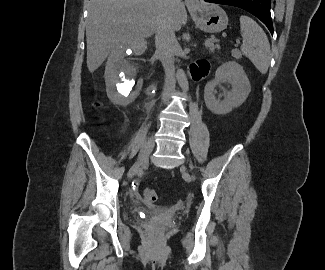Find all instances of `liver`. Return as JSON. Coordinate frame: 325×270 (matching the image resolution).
Listing matches in <instances>:
<instances>
[{
	"instance_id": "obj_1",
	"label": "liver",
	"mask_w": 325,
	"mask_h": 270,
	"mask_svg": "<svg viewBox=\"0 0 325 270\" xmlns=\"http://www.w3.org/2000/svg\"><path fill=\"white\" fill-rule=\"evenodd\" d=\"M161 11V0H90L86 26L88 70L93 73L121 45L144 51V39L156 32ZM186 18L185 5L178 0L172 8L176 31Z\"/></svg>"
}]
</instances>
